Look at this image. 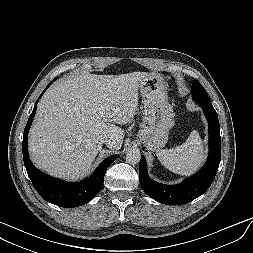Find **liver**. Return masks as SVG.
I'll return each instance as SVG.
<instances>
[{"label": "liver", "instance_id": "liver-1", "mask_svg": "<svg viewBox=\"0 0 253 253\" xmlns=\"http://www.w3.org/2000/svg\"><path fill=\"white\" fill-rule=\"evenodd\" d=\"M151 75L80 74L58 81L39 101L29 132L33 163L55 177H83L101 151L102 139H112L109 148H121L125 133L116 124L134 116L140 84Z\"/></svg>", "mask_w": 253, "mask_h": 253}]
</instances>
